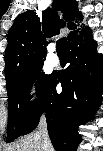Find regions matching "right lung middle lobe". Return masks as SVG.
<instances>
[{
	"label": "right lung middle lobe",
	"instance_id": "1",
	"mask_svg": "<svg viewBox=\"0 0 103 151\" xmlns=\"http://www.w3.org/2000/svg\"><path fill=\"white\" fill-rule=\"evenodd\" d=\"M42 66L43 63H40L29 68L7 88L8 143L23 135L41 107L45 93L54 75V73L46 75L41 71ZM36 80L37 101L31 103L29 92Z\"/></svg>",
	"mask_w": 103,
	"mask_h": 151
}]
</instances>
